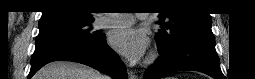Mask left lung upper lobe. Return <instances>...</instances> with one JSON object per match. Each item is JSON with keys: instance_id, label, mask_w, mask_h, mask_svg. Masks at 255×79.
<instances>
[{"instance_id": "1", "label": "left lung upper lobe", "mask_w": 255, "mask_h": 79, "mask_svg": "<svg viewBox=\"0 0 255 79\" xmlns=\"http://www.w3.org/2000/svg\"><path fill=\"white\" fill-rule=\"evenodd\" d=\"M157 3L162 10L160 12L161 19L158 22L162 27L155 36L159 52L170 50L186 38L214 37L209 14L201 11L185 13L178 11L175 7H166L175 4L170 0L157 1Z\"/></svg>"}]
</instances>
